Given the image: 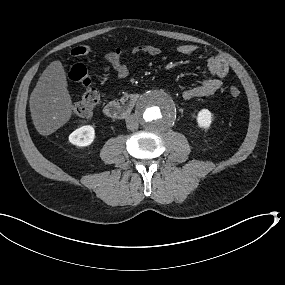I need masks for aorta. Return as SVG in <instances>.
<instances>
[{
  "label": "aorta",
  "mask_w": 285,
  "mask_h": 285,
  "mask_svg": "<svg viewBox=\"0 0 285 285\" xmlns=\"http://www.w3.org/2000/svg\"><path fill=\"white\" fill-rule=\"evenodd\" d=\"M141 124L152 131H163L173 125L177 106L173 98L162 91H151L141 97L137 105Z\"/></svg>",
  "instance_id": "obj_1"
}]
</instances>
